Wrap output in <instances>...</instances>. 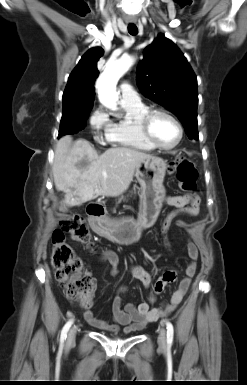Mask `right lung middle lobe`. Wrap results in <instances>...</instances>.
I'll use <instances>...</instances> for the list:
<instances>
[{"instance_id":"right-lung-middle-lobe-1","label":"right lung middle lobe","mask_w":247,"mask_h":385,"mask_svg":"<svg viewBox=\"0 0 247 385\" xmlns=\"http://www.w3.org/2000/svg\"><path fill=\"white\" fill-rule=\"evenodd\" d=\"M92 107L89 105L63 104L58 138L65 134H75L84 129Z\"/></svg>"}]
</instances>
